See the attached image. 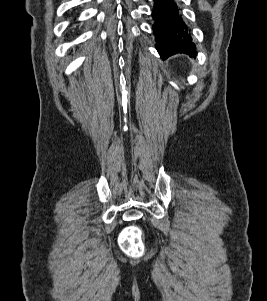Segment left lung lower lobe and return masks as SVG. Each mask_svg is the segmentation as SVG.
Listing matches in <instances>:
<instances>
[{
	"mask_svg": "<svg viewBox=\"0 0 267 301\" xmlns=\"http://www.w3.org/2000/svg\"><path fill=\"white\" fill-rule=\"evenodd\" d=\"M152 16L156 48L163 60L176 53L196 55L195 44L174 0H154Z\"/></svg>",
	"mask_w": 267,
	"mask_h": 301,
	"instance_id": "left-lung-lower-lobe-1",
	"label": "left lung lower lobe"
}]
</instances>
